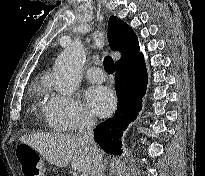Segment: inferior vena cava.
I'll list each match as a JSON object with an SVG mask.
<instances>
[{"label":"inferior vena cava","instance_id":"1","mask_svg":"<svg viewBox=\"0 0 205 176\" xmlns=\"http://www.w3.org/2000/svg\"><path fill=\"white\" fill-rule=\"evenodd\" d=\"M94 126V119L88 116H84L81 119L77 139L80 143L84 144L93 154L94 159L91 176H103L102 157L93 137Z\"/></svg>","mask_w":205,"mask_h":176}]
</instances>
